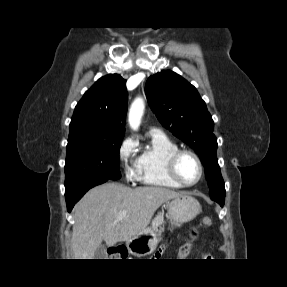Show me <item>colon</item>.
<instances>
[{
	"label": "colon",
	"instance_id": "obj_1",
	"mask_svg": "<svg viewBox=\"0 0 287 287\" xmlns=\"http://www.w3.org/2000/svg\"><path fill=\"white\" fill-rule=\"evenodd\" d=\"M212 225V220L208 216H202L199 220L197 228L192 232L191 238L182 244L179 248V256L181 258H187L192 251L193 242L198 238L201 231L208 229ZM127 251L124 247L119 246L111 251V255L114 257H125Z\"/></svg>",
	"mask_w": 287,
	"mask_h": 287
}]
</instances>
